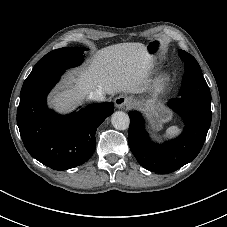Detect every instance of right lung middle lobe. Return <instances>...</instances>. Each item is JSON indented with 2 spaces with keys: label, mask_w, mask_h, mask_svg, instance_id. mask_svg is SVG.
<instances>
[{
  "label": "right lung middle lobe",
  "mask_w": 227,
  "mask_h": 227,
  "mask_svg": "<svg viewBox=\"0 0 227 227\" xmlns=\"http://www.w3.org/2000/svg\"><path fill=\"white\" fill-rule=\"evenodd\" d=\"M85 50L87 49L83 47H64L51 51L36 63L25 82L47 72L78 66L83 61V51Z\"/></svg>",
  "instance_id": "dd1d6c3e"
}]
</instances>
